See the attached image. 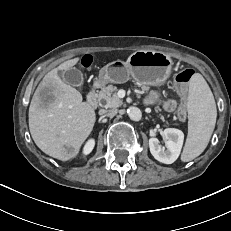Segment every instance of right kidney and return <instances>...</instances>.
<instances>
[{"label": "right kidney", "instance_id": "1", "mask_svg": "<svg viewBox=\"0 0 231 231\" xmlns=\"http://www.w3.org/2000/svg\"><path fill=\"white\" fill-rule=\"evenodd\" d=\"M94 145H95L94 139L88 140L86 145L84 146L83 153L85 155L89 154L93 150Z\"/></svg>", "mask_w": 231, "mask_h": 231}]
</instances>
